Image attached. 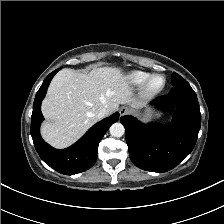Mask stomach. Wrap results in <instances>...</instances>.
Here are the masks:
<instances>
[{
	"label": "stomach",
	"instance_id": "0dacf381",
	"mask_svg": "<svg viewBox=\"0 0 224 224\" xmlns=\"http://www.w3.org/2000/svg\"><path fill=\"white\" fill-rule=\"evenodd\" d=\"M148 117L146 116L144 119L146 120Z\"/></svg>",
	"mask_w": 224,
	"mask_h": 224
}]
</instances>
